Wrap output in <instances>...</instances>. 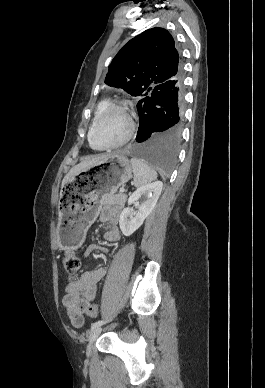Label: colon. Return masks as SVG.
I'll list each match as a JSON object with an SVG mask.
<instances>
[{"mask_svg": "<svg viewBox=\"0 0 265 388\" xmlns=\"http://www.w3.org/2000/svg\"><path fill=\"white\" fill-rule=\"evenodd\" d=\"M63 267L69 276L74 275L80 268V260L74 251H68L63 258ZM88 315L97 317L99 308L97 305H91L88 309Z\"/></svg>", "mask_w": 265, "mask_h": 388, "instance_id": "colon-1", "label": "colon"}]
</instances>
